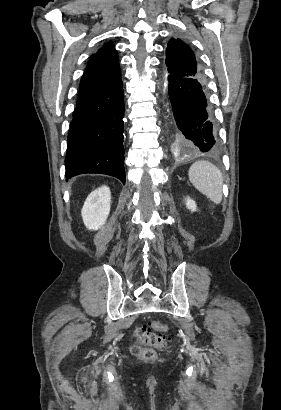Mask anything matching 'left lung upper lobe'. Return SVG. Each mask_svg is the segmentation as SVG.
I'll list each match as a JSON object with an SVG mask.
<instances>
[{"instance_id": "1", "label": "left lung upper lobe", "mask_w": 281, "mask_h": 410, "mask_svg": "<svg viewBox=\"0 0 281 410\" xmlns=\"http://www.w3.org/2000/svg\"><path fill=\"white\" fill-rule=\"evenodd\" d=\"M166 73L204 80L201 65L191 48L180 39L172 38L166 48Z\"/></svg>"}]
</instances>
